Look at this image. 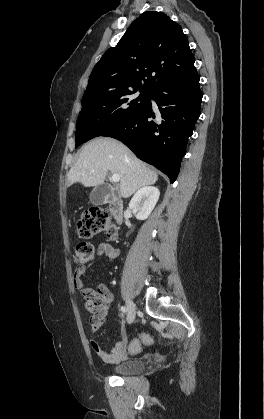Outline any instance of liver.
<instances>
[{
  "label": "liver",
  "instance_id": "1",
  "mask_svg": "<svg viewBox=\"0 0 264 419\" xmlns=\"http://www.w3.org/2000/svg\"><path fill=\"white\" fill-rule=\"evenodd\" d=\"M109 171L120 176L119 193L123 198L158 180L157 173L124 144L113 138L99 137L83 147L68 173V186L78 182L85 187H97L104 183Z\"/></svg>",
  "mask_w": 264,
  "mask_h": 419
}]
</instances>
